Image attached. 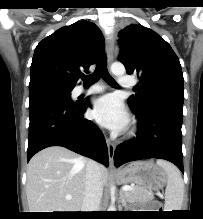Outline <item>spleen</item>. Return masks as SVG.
I'll return each mask as SVG.
<instances>
[{
	"label": "spleen",
	"instance_id": "3e777b00",
	"mask_svg": "<svg viewBox=\"0 0 203 219\" xmlns=\"http://www.w3.org/2000/svg\"><path fill=\"white\" fill-rule=\"evenodd\" d=\"M156 163L167 173V186L165 190L166 211L181 210L184 183L180 171L176 166L165 160H157Z\"/></svg>",
	"mask_w": 203,
	"mask_h": 219
}]
</instances>
